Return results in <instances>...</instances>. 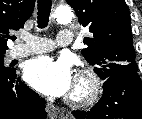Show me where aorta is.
Here are the masks:
<instances>
[{"label":"aorta","mask_w":142,"mask_h":119,"mask_svg":"<svg viewBox=\"0 0 142 119\" xmlns=\"http://www.w3.org/2000/svg\"><path fill=\"white\" fill-rule=\"evenodd\" d=\"M54 19L59 23H68L73 18V13L68 7H59L53 14Z\"/></svg>","instance_id":"762f6f07"}]
</instances>
